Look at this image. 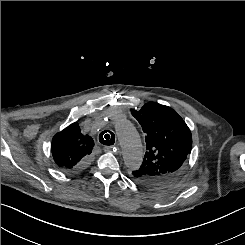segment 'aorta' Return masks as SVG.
<instances>
[{"instance_id":"1","label":"aorta","mask_w":245,"mask_h":245,"mask_svg":"<svg viewBox=\"0 0 245 245\" xmlns=\"http://www.w3.org/2000/svg\"><path fill=\"white\" fill-rule=\"evenodd\" d=\"M115 130L122 148L125 165L131 169H138L142 163L143 151L139 134L129 120H120Z\"/></svg>"}]
</instances>
